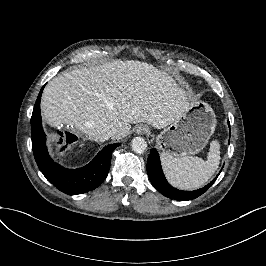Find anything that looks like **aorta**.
I'll list each match as a JSON object with an SVG mask.
<instances>
[{
    "mask_svg": "<svg viewBox=\"0 0 266 266\" xmlns=\"http://www.w3.org/2000/svg\"><path fill=\"white\" fill-rule=\"evenodd\" d=\"M131 147L135 153H144L147 149V142L142 137H136L131 141Z\"/></svg>",
    "mask_w": 266,
    "mask_h": 266,
    "instance_id": "obj_1",
    "label": "aorta"
}]
</instances>
